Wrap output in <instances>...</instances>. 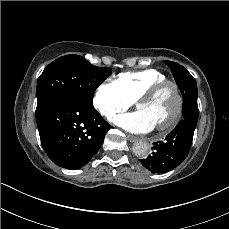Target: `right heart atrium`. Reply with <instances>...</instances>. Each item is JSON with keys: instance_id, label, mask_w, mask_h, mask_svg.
<instances>
[{"instance_id": "obj_1", "label": "right heart atrium", "mask_w": 229, "mask_h": 229, "mask_svg": "<svg viewBox=\"0 0 229 229\" xmlns=\"http://www.w3.org/2000/svg\"><path fill=\"white\" fill-rule=\"evenodd\" d=\"M132 105L133 101L128 98L117 81L102 82L93 96L94 108L109 120Z\"/></svg>"}]
</instances>
